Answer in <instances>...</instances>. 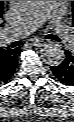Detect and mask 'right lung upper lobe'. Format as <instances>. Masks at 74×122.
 I'll use <instances>...</instances> for the list:
<instances>
[{
    "label": "right lung upper lobe",
    "mask_w": 74,
    "mask_h": 122,
    "mask_svg": "<svg viewBox=\"0 0 74 122\" xmlns=\"http://www.w3.org/2000/svg\"><path fill=\"white\" fill-rule=\"evenodd\" d=\"M2 13H3V1H0V18L2 17ZM1 26V24H0ZM6 50H10L8 47L7 49H2L0 48V56L2 53H4Z\"/></svg>",
    "instance_id": "1"
}]
</instances>
